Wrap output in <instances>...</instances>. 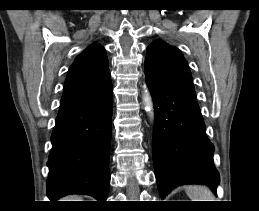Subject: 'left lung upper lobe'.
Returning <instances> with one entry per match:
<instances>
[{
  "label": "left lung upper lobe",
  "mask_w": 259,
  "mask_h": 211,
  "mask_svg": "<svg viewBox=\"0 0 259 211\" xmlns=\"http://www.w3.org/2000/svg\"><path fill=\"white\" fill-rule=\"evenodd\" d=\"M145 75L157 85L195 92L191 72L182 53L162 40H155L147 47Z\"/></svg>",
  "instance_id": "left-lung-upper-lobe-1"
}]
</instances>
